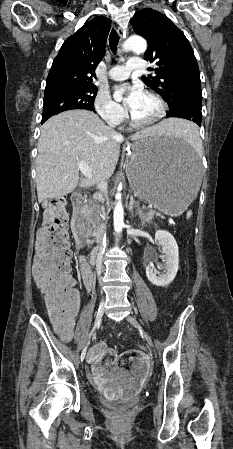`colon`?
I'll return each instance as SVG.
<instances>
[{"instance_id":"1","label":"colon","mask_w":233,"mask_h":449,"mask_svg":"<svg viewBox=\"0 0 233 449\" xmlns=\"http://www.w3.org/2000/svg\"><path fill=\"white\" fill-rule=\"evenodd\" d=\"M67 200H50L44 210V224L36 241L33 274L42 290L50 314L58 321H69L78 305V295L71 274L69 235L67 232ZM135 355L125 353L119 363L124 368L132 367Z\"/></svg>"}]
</instances>
